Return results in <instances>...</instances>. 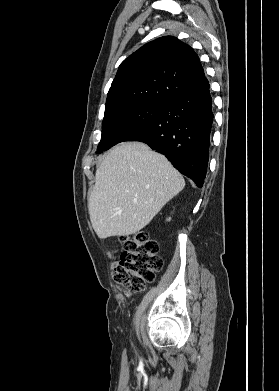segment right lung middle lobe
Returning <instances> with one entry per match:
<instances>
[{"instance_id": "dd1d6c3e", "label": "right lung middle lobe", "mask_w": 279, "mask_h": 391, "mask_svg": "<svg viewBox=\"0 0 279 391\" xmlns=\"http://www.w3.org/2000/svg\"><path fill=\"white\" fill-rule=\"evenodd\" d=\"M162 106V103L144 102L106 112L102 122V137L96 153L108 150L149 124Z\"/></svg>"}]
</instances>
